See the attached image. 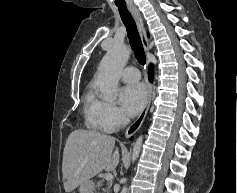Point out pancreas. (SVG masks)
<instances>
[{
	"label": "pancreas",
	"instance_id": "cf45deb5",
	"mask_svg": "<svg viewBox=\"0 0 237 193\" xmlns=\"http://www.w3.org/2000/svg\"><path fill=\"white\" fill-rule=\"evenodd\" d=\"M98 187H103V182L102 180L98 182L97 184ZM110 188H111V183H107L106 187L102 188V193H110Z\"/></svg>",
	"mask_w": 237,
	"mask_h": 193
}]
</instances>
